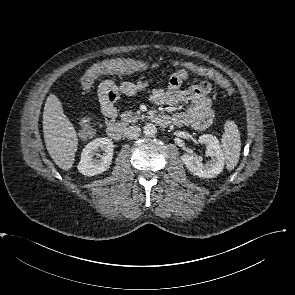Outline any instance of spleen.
<instances>
[{
	"instance_id": "obj_1",
	"label": "spleen",
	"mask_w": 295,
	"mask_h": 295,
	"mask_svg": "<svg viewBox=\"0 0 295 295\" xmlns=\"http://www.w3.org/2000/svg\"><path fill=\"white\" fill-rule=\"evenodd\" d=\"M225 133L222 135L221 148L226 160L227 169L233 170L239 162L241 151L240 133L237 125L232 120L224 124Z\"/></svg>"
}]
</instances>
